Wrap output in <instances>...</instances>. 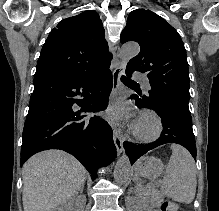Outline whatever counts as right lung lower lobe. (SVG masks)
Returning <instances> with one entry per match:
<instances>
[{"label": "right lung lower lobe", "mask_w": 219, "mask_h": 211, "mask_svg": "<svg viewBox=\"0 0 219 211\" xmlns=\"http://www.w3.org/2000/svg\"><path fill=\"white\" fill-rule=\"evenodd\" d=\"M109 66L89 75L34 78L23 130L21 165L37 152L60 149L75 156L94 179L100 166L114 160L111 127L99 116L82 114L107 108L113 86Z\"/></svg>", "instance_id": "obj_1"}]
</instances>
